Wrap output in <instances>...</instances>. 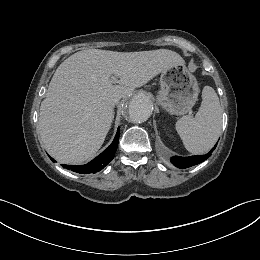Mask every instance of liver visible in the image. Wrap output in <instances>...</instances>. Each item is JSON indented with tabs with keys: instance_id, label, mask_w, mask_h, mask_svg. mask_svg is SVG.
Wrapping results in <instances>:
<instances>
[{
	"instance_id": "6515ba94",
	"label": "liver",
	"mask_w": 260,
	"mask_h": 260,
	"mask_svg": "<svg viewBox=\"0 0 260 260\" xmlns=\"http://www.w3.org/2000/svg\"><path fill=\"white\" fill-rule=\"evenodd\" d=\"M184 64L179 54L167 49H87L73 54L57 68L40 106L41 142L60 162L89 160L111 128L116 102L163 71ZM116 78L120 85L110 83Z\"/></svg>"
}]
</instances>
